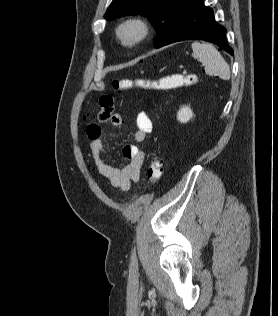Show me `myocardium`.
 I'll list each match as a JSON object with an SVG mask.
<instances>
[{"label":"myocardium","instance_id":"1","mask_svg":"<svg viewBox=\"0 0 278 316\" xmlns=\"http://www.w3.org/2000/svg\"><path fill=\"white\" fill-rule=\"evenodd\" d=\"M150 30L147 19L140 15H132L117 24L115 38L122 47L132 49L148 38ZM128 32L131 34L128 35Z\"/></svg>","mask_w":278,"mask_h":316}]
</instances>
